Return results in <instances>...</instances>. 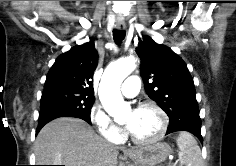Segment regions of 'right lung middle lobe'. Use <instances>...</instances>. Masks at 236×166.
<instances>
[{"label": "right lung middle lobe", "instance_id": "1", "mask_svg": "<svg viewBox=\"0 0 236 166\" xmlns=\"http://www.w3.org/2000/svg\"><path fill=\"white\" fill-rule=\"evenodd\" d=\"M95 97L66 91H50L42 94L39 122L53 120L70 114L90 120Z\"/></svg>", "mask_w": 236, "mask_h": 166}]
</instances>
